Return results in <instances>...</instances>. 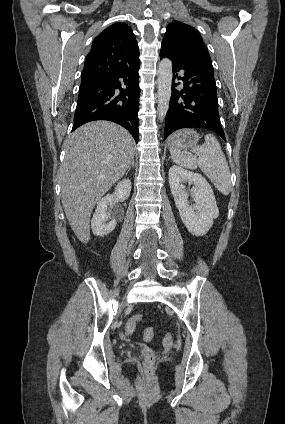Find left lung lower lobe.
<instances>
[{
    "instance_id": "0a47b994",
    "label": "left lung lower lobe",
    "mask_w": 285,
    "mask_h": 424,
    "mask_svg": "<svg viewBox=\"0 0 285 424\" xmlns=\"http://www.w3.org/2000/svg\"><path fill=\"white\" fill-rule=\"evenodd\" d=\"M164 57L172 61L175 74L164 139L178 129L198 127L212 130L225 140L211 59L201 55L182 56L161 44L160 58ZM180 70L184 71L183 77H177ZM176 77L184 82L182 90L175 88L179 84L174 82Z\"/></svg>"
}]
</instances>
